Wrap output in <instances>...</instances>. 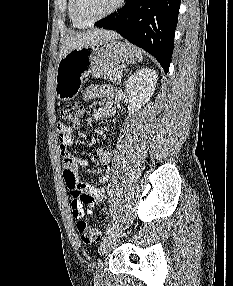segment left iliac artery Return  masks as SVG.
Returning <instances> with one entry per match:
<instances>
[{
    "label": "left iliac artery",
    "instance_id": "obj_1",
    "mask_svg": "<svg viewBox=\"0 0 233 286\" xmlns=\"http://www.w3.org/2000/svg\"><path fill=\"white\" fill-rule=\"evenodd\" d=\"M114 228V221L108 224L105 234H108Z\"/></svg>",
    "mask_w": 233,
    "mask_h": 286
}]
</instances>
